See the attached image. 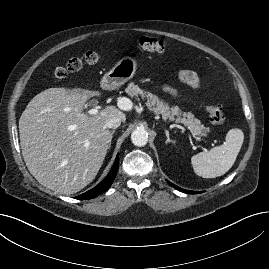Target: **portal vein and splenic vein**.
<instances>
[{
    "instance_id": "18ae733b",
    "label": "portal vein and splenic vein",
    "mask_w": 269,
    "mask_h": 269,
    "mask_svg": "<svg viewBox=\"0 0 269 269\" xmlns=\"http://www.w3.org/2000/svg\"><path fill=\"white\" fill-rule=\"evenodd\" d=\"M119 103H120V101H119ZM97 113H98V107H93L87 111V114H89V115H96Z\"/></svg>"
}]
</instances>
